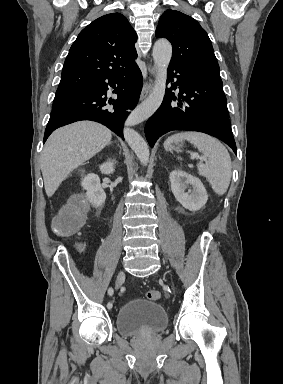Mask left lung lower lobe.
<instances>
[{"label": "left lung lower lobe", "mask_w": 283, "mask_h": 384, "mask_svg": "<svg viewBox=\"0 0 283 384\" xmlns=\"http://www.w3.org/2000/svg\"><path fill=\"white\" fill-rule=\"evenodd\" d=\"M176 82L166 90L159 109L147 121L145 135L151 147L163 134L173 130L199 131L228 144L237 154L231 130L227 100L222 80L168 67V82ZM179 87L178 102L172 92Z\"/></svg>", "instance_id": "1"}]
</instances>
